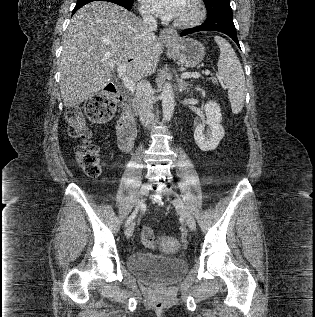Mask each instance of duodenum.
<instances>
[{"instance_id":"duodenum-1","label":"duodenum","mask_w":315,"mask_h":317,"mask_svg":"<svg viewBox=\"0 0 315 317\" xmlns=\"http://www.w3.org/2000/svg\"><path fill=\"white\" fill-rule=\"evenodd\" d=\"M113 82L118 92L121 103V114L116 122V130L119 145L122 150L128 152L132 149L137 129L133 118V99L125 88L123 81L115 75Z\"/></svg>"}]
</instances>
